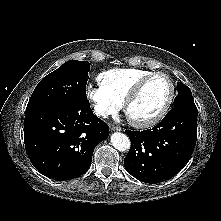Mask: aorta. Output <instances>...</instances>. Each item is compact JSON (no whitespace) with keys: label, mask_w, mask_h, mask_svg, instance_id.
Wrapping results in <instances>:
<instances>
[{"label":"aorta","mask_w":221,"mask_h":221,"mask_svg":"<svg viewBox=\"0 0 221 221\" xmlns=\"http://www.w3.org/2000/svg\"><path fill=\"white\" fill-rule=\"evenodd\" d=\"M111 144L121 152L127 151L130 148L129 137L120 132H115L111 135Z\"/></svg>","instance_id":"762f6f07"}]
</instances>
